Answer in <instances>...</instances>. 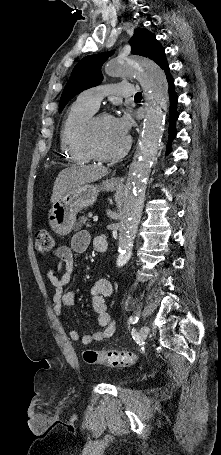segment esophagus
<instances>
[{"mask_svg": "<svg viewBox=\"0 0 221 455\" xmlns=\"http://www.w3.org/2000/svg\"><path fill=\"white\" fill-rule=\"evenodd\" d=\"M113 181H114L115 183L121 184V183H123L124 178H122V177H121V178H120V177H116V178H113Z\"/></svg>", "mask_w": 221, "mask_h": 455, "instance_id": "obj_1", "label": "esophagus"}]
</instances>
